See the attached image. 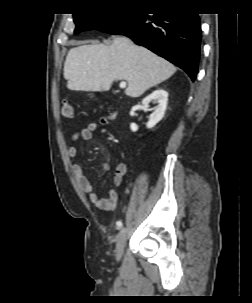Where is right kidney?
Wrapping results in <instances>:
<instances>
[{
	"label": "right kidney",
	"mask_w": 252,
	"mask_h": 303,
	"mask_svg": "<svg viewBox=\"0 0 252 303\" xmlns=\"http://www.w3.org/2000/svg\"><path fill=\"white\" fill-rule=\"evenodd\" d=\"M151 101L158 103L155 107L154 112L150 115L149 121L146 124L148 129L153 128L163 117L167 107L168 93L164 89H157L142 100L143 107H149ZM130 128L133 132L138 130V126L135 123H131Z\"/></svg>",
	"instance_id": "ca27d5eb"
}]
</instances>
